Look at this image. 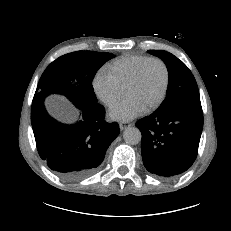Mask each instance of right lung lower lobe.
Returning a JSON list of instances; mask_svg holds the SVG:
<instances>
[{"label": "right lung lower lobe", "mask_w": 231, "mask_h": 231, "mask_svg": "<svg viewBox=\"0 0 231 231\" xmlns=\"http://www.w3.org/2000/svg\"><path fill=\"white\" fill-rule=\"evenodd\" d=\"M81 118L62 124L48 115L44 99L32 102L31 122L40 157L48 167L68 180L92 175L102 163L106 150L119 134L117 123H107L99 103L76 106Z\"/></svg>", "instance_id": "right-lung-lower-lobe-1"}]
</instances>
